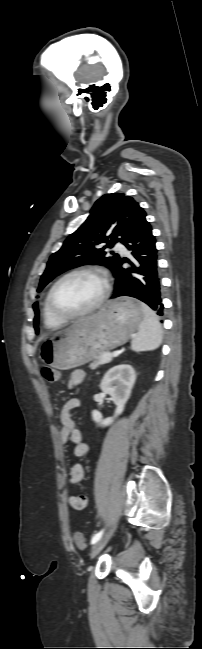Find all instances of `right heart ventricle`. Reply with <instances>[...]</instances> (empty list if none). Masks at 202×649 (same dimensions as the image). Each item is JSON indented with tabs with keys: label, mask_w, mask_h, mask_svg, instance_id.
I'll return each mask as SVG.
<instances>
[{
	"label": "right heart ventricle",
	"mask_w": 202,
	"mask_h": 649,
	"mask_svg": "<svg viewBox=\"0 0 202 649\" xmlns=\"http://www.w3.org/2000/svg\"><path fill=\"white\" fill-rule=\"evenodd\" d=\"M42 318L44 325L49 329H56L65 324V320L59 319L53 315L49 308L48 296L45 297L42 306Z\"/></svg>",
	"instance_id": "obj_1"
}]
</instances>
